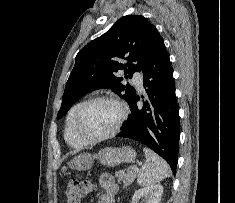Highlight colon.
I'll use <instances>...</instances> for the list:
<instances>
[{
  "instance_id": "5ec220e1",
  "label": "colon",
  "mask_w": 235,
  "mask_h": 203,
  "mask_svg": "<svg viewBox=\"0 0 235 203\" xmlns=\"http://www.w3.org/2000/svg\"><path fill=\"white\" fill-rule=\"evenodd\" d=\"M93 190L92 183L72 178L66 189V198L68 203H81V200Z\"/></svg>"
}]
</instances>
